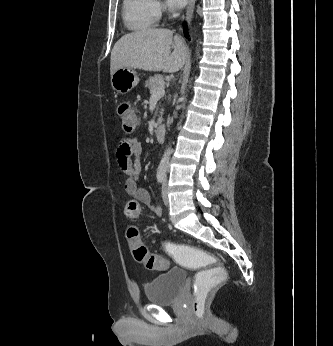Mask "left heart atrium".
<instances>
[{
  "mask_svg": "<svg viewBox=\"0 0 333 346\" xmlns=\"http://www.w3.org/2000/svg\"><path fill=\"white\" fill-rule=\"evenodd\" d=\"M188 0H166L167 4L171 8H181Z\"/></svg>",
  "mask_w": 333,
  "mask_h": 346,
  "instance_id": "39dd6f15",
  "label": "left heart atrium"
}]
</instances>
